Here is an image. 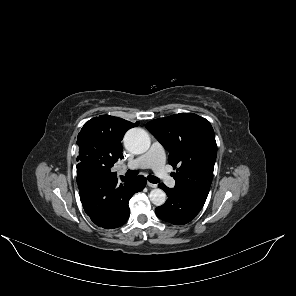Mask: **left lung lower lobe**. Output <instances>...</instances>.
Masks as SVG:
<instances>
[{
    "mask_svg": "<svg viewBox=\"0 0 296 296\" xmlns=\"http://www.w3.org/2000/svg\"><path fill=\"white\" fill-rule=\"evenodd\" d=\"M168 195L165 204L156 208V215L175 225L190 222L202 209L209 191L193 189H170L163 183L159 184Z\"/></svg>",
    "mask_w": 296,
    "mask_h": 296,
    "instance_id": "1",
    "label": "left lung lower lobe"
}]
</instances>
